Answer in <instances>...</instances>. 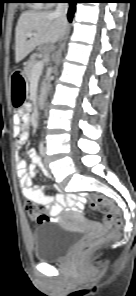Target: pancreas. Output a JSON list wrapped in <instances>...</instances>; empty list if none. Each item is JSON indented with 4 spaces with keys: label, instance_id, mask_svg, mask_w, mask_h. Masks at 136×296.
Segmentation results:
<instances>
[{
    "label": "pancreas",
    "instance_id": "pancreas-1",
    "mask_svg": "<svg viewBox=\"0 0 136 296\" xmlns=\"http://www.w3.org/2000/svg\"><path fill=\"white\" fill-rule=\"evenodd\" d=\"M37 61L35 59H31L30 61H28L25 65L24 68V73L28 79V81H31L32 77H33V68L36 65ZM42 89V88H41Z\"/></svg>",
    "mask_w": 136,
    "mask_h": 296
}]
</instances>
